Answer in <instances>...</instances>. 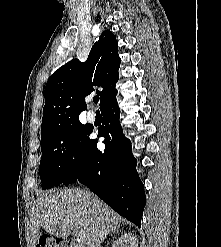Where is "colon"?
Wrapping results in <instances>:
<instances>
[{
	"label": "colon",
	"instance_id": "obj_1",
	"mask_svg": "<svg viewBox=\"0 0 221 247\" xmlns=\"http://www.w3.org/2000/svg\"><path fill=\"white\" fill-rule=\"evenodd\" d=\"M37 247H66V246L60 242L47 240L37 245Z\"/></svg>",
	"mask_w": 221,
	"mask_h": 247
}]
</instances>
